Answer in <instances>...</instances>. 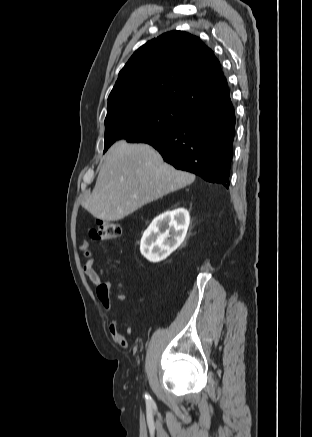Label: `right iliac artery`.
<instances>
[{
  "mask_svg": "<svg viewBox=\"0 0 312 437\" xmlns=\"http://www.w3.org/2000/svg\"><path fill=\"white\" fill-rule=\"evenodd\" d=\"M145 399H146V402L148 403V404H151L153 401H152V398L148 395V394H145Z\"/></svg>",
  "mask_w": 312,
  "mask_h": 437,
  "instance_id": "obj_1",
  "label": "right iliac artery"
}]
</instances>
